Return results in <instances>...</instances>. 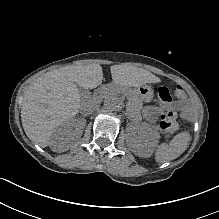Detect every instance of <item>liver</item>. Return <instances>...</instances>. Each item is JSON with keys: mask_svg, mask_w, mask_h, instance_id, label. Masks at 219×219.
Instances as JSON below:
<instances>
[{"mask_svg": "<svg viewBox=\"0 0 219 219\" xmlns=\"http://www.w3.org/2000/svg\"><path fill=\"white\" fill-rule=\"evenodd\" d=\"M110 70L113 83L118 86L139 87L151 82L152 74L142 68L125 64L113 65ZM102 80L99 64L65 66L37 78L26 90L21 107L22 126L27 137L44 148L55 130L69 123L83 104L94 105L91 111L97 110L100 97L84 96L79 87L94 89Z\"/></svg>", "mask_w": 219, "mask_h": 219, "instance_id": "1", "label": "liver"}]
</instances>
